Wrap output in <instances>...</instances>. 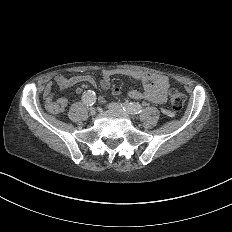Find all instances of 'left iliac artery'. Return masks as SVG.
Masks as SVG:
<instances>
[{"label": "left iliac artery", "instance_id": "44dca946", "mask_svg": "<svg viewBox=\"0 0 232 232\" xmlns=\"http://www.w3.org/2000/svg\"><path fill=\"white\" fill-rule=\"evenodd\" d=\"M123 110L130 114H139L142 112V106L138 103H129L125 105Z\"/></svg>", "mask_w": 232, "mask_h": 232}]
</instances>
